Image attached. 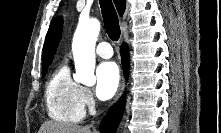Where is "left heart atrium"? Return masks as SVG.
Instances as JSON below:
<instances>
[{"label": "left heart atrium", "mask_w": 221, "mask_h": 133, "mask_svg": "<svg viewBox=\"0 0 221 133\" xmlns=\"http://www.w3.org/2000/svg\"><path fill=\"white\" fill-rule=\"evenodd\" d=\"M120 74L114 62H103L96 69V94L100 99L107 100L117 91Z\"/></svg>", "instance_id": "obj_1"}]
</instances>
